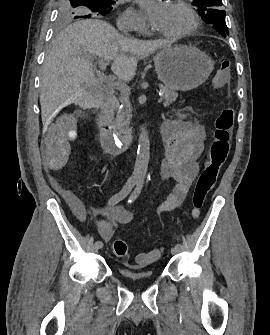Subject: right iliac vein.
I'll list each match as a JSON object with an SVG mask.
<instances>
[{"instance_id": "obj_1", "label": "right iliac vein", "mask_w": 270, "mask_h": 335, "mask_svg": "<svg viewBox=\"0 0 270 335\" xmlns=\"http://www.w3.org/2000/svg\"><path fill=\"white\" fill-rule=\"evenodd\" d=\"M99 249H100V248H99L96 244H94L93 247H92V250H93L94 252H98Z\"/></svg>"}]
</instances>
